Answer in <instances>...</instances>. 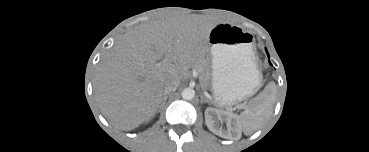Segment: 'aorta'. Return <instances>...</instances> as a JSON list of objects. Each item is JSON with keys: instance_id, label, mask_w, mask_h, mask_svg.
I'll list each match as a JSON object with an SVG mask.
<instances>
[{"instance_id": "obj_1", "label": "aorta", "mask_w": 369, "mask_h": 152, "mask_svg": "<svg viewBox=\"0 0 369 152\" xmlns=\"http://www.w3.org/2000/svg\"><path fill=\"white\" fill-rule=\"evenodd\" d=\"M181 96L184 100H192L195 96V91L192 88H185L182 91Z\"/></svg>"}]
</instances>
